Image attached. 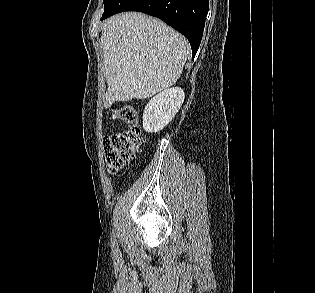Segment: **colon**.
Listing matches in <instances>:
<instances>
[{
    "instance_id": "obj_1",
    "label": "colon",
    "mask_w": 315,
    "mask_h": 293,
    "mask_svg": "<svg viewBox=\"0 0 315 293\" xmlns=\"http://www.w3.org/2000/svg\"><path fill=\"white\" fill-rule=\"evenodd\" d=\"M113 119L125 123L128 128L104 138L105 159L111 173L118 172L123 165L134 159L142 147L143 134L139 124V113L132 106L112 110Z\"/></svg>"
}]
</instances>
